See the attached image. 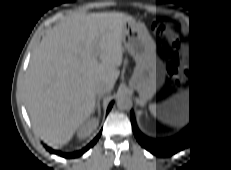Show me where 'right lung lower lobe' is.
I'll return each instance as SVG.
<instances>
[{
    "mask_svg": "<svg viewBox=\"0 0 231 170\" xmlns=\"http://www.w3.org/2000/svg\"><path fill=\"white\" fill-rule=\"evenodd\" d=\"M111 107H112V103L110 104V106L108 108V111L111 109ZM99 137H100V134L90 144H88L85 148H83L82 150H80L78 152H75V153H60L58 151L52 150V153L60 154L62 157H65V158L78 157V156L82 155L85 151H87L89 148H91L97 142Z\"/></svg>",
    "mask_w": 231,
    "mask_h": 170,
    "instance_id": "98d812e1",
    "label": "right lung lower lobe"
}]
</instances>
